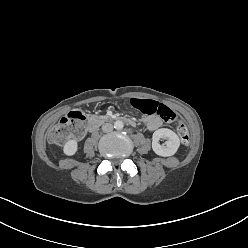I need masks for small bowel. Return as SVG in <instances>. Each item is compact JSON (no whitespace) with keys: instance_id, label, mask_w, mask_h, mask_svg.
Here are the masks:
<instances>
[{"instance_id":"c3829d8e","label":"small bowel","mask_w":248,"mask_h":248,"mask_svg":"<svg viewBox=\"0 0 248 248\" xmlns=\"http://www.w3.org/2000/svg\"><path fill=\"white\" fill-rule=\"evenodd\" d=\"M142 120L146 127L151 131L158 129L162 124L160 118L155 115L145 116Z\"/></svg>"}]
</instances>
